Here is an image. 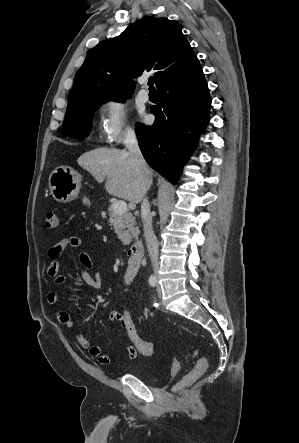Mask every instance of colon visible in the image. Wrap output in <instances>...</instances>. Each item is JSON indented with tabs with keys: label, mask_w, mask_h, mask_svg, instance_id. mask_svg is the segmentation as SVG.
Masks as SVG:
<instances>
[{
	"label": "colon",
	"mask_w": 299,
	"mask_h": 443,
	"mask_svg": "<svg viewBox=\"0 0 299 443\" xmlns=\"http://www.w3.org/2000/svg\"><path fill=\"white\" fill-rule=\"evenodd\" d=\"M59 225V219L54 211H47L45 213V226L49 229L56 228ZM121 326L132 345L135 346L137 351L145 356H151L155 353L156 347L153 343L143 339L135 326V321L132 313L129 309L123 308L119 314ZM198 351L191 354L192 357H197ZM207 362L203 357L197 359L193 369L185 375L175 386V390H180L189 385L197 378H199L206 370ZM180 368V363L177 359H173L171 371L177 373Z\"/></svg>",
	"instance_id": "colon-1"
}]
</instances>
